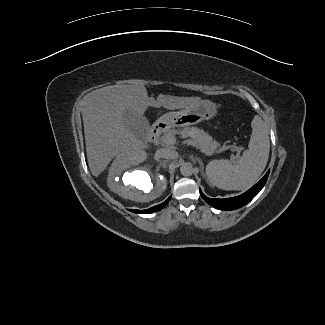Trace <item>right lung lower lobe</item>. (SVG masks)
Masks as SVG:
<instances>
[{
  "label": "right lung lower lobe",
  "mask_w": 325,
  "mask_h": 325,
  "mask_svg": "<svg viewBox=\"0 0 325 325\" xmlns=\"http://www.w3.org/2000/svg\"><path fill=\"white\" fill-rule=\"evenodd\" d=\"M171 197H169L165 202L159 204V205H156L154 207H151L149 209H146V210H131L135 213H152V212H155V211H158L159 209H162L163 207H165V205L169 202Z\"/></svg>",
  "instance_id": "1"
}]
</instances>
